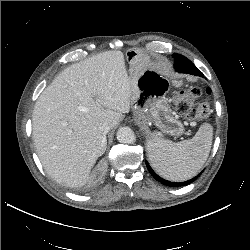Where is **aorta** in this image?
Here are the masks:
<instances>
[{"instance_id": "762f6f07", "label": "aorta", "mask_w": 250, "mask_h": 250, "mask_svg": "<svg viewBox=\"0 0 250 250\" xmlns=\"http://www.w3.org/2000/svg\"><path fill=\"white\" fill-rule=\"evenodd\" d=\"M117 140L124 144H132L136 140L135 133L129 127H121L117 132Z\"/></svg>"}]
</instances>
